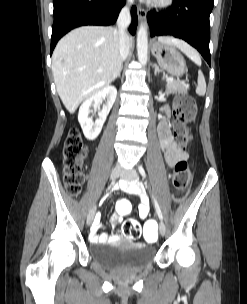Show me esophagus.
<instances>
[{"instance_id": "1", "label": "esophagus", "mask_w": 247, "mask_h": 304, "mask_svg": "<svg viewBox=\"0 0 247 304\" xmlns=\"http://www.w3.org/2000/svg\"><path fill=\"white\" fill-rule=\"evenodd\" d=\"M137 15H138L139 21H142L145 18V16H146V12H145V10L143 8L138 7V9H137Z\"/></svg>"}]
</instances>
